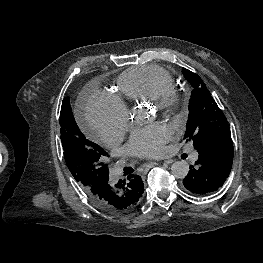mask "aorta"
<instances>
[{"label": "aorta", "mask_w": 263, "mask_h": 263, "mask_svg": "<svg viewBox=\"0 0 263 263\" xmlns=\"http://www.w3.org/2000/svg\"><path fill=\"white\" fill-rule=\"evenodd\" d=\"M171 172L174 177L183 179L188 175L189 165L186 161H175L171 166Z\"/></svg>", "instance_id": "1"}]
</instances>
